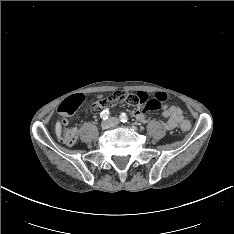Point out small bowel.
Returning a JSON list of instances; mask_svg holds the SVG:
<instances>
[{
  "instance_id": "obj_1",
  "label": "small bowel",
  "mask_w": 234,
  "mask_h": 234,
  "mask_svg": "<svg viewBox=\"0 0 234 234\" xmlns=\"http://www.w3.org/2000/svg\"><path fill=\"white\" fill-rule=\"evenodd\" d=\"M110 104L112 103L106 101L103 104V108H106ZM146 110V108H137L133 112V116L140 122H147L149 119L146 115ZM161 110L163 116L167 119V121L164 124L166 129H174L177 125L182 124L184 122L183 112L180 107L174 105H164L161 107Z\"/></svg>"
}]
</instances>
